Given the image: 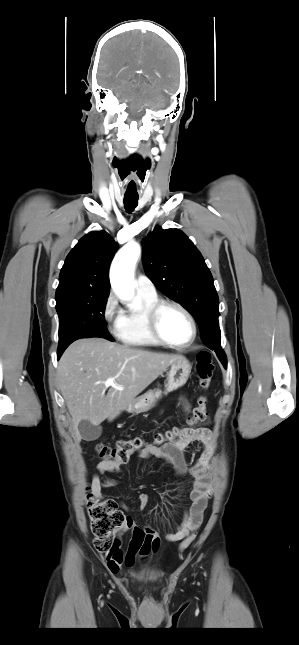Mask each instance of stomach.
I'll list each match as a JSON object with an SVG mask.
<instances>
[{
	"instance_id": "stomach-1",
	"label": "stomach",
	"mask_w": 299,
	"mask_h": 645,
	"mask_svg": "<svg viewBox=\"0 0 299 645\" xmlns=\"http://www.w3.org/2000/svg\"><path fill=\"white\" fill-rule=\"evenodd\" d=\"M191 369V364L185 358L173 363L167 373V383L165 385L166 390L171 392L185 385L191 373ZM160 396L161 391L159 390L148 391L135 398L134 401L125 408V410L134 414L147 412L155 406Z\"/></svg>"
}]
</instances>
